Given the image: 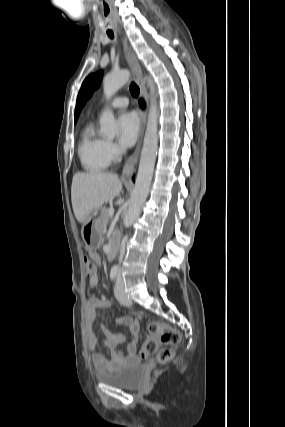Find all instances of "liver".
Instances as JSON below:
<instances>
[{"mask_svg":"<svg viewBox=\"0 0 285 427\" xmlns=\"http://www.w3.org/2000/svg\"><path fill=\"white\" fill-rule=\"evenodd\" d=\"M122 182L117 174L75 173L71 186V201L78 222L85 223L91 212L119 196Z\"/></svg>","mask_w":285,"mask_h":427,"instance_id":"6515ba94","label":"liver"}]
</instances>
